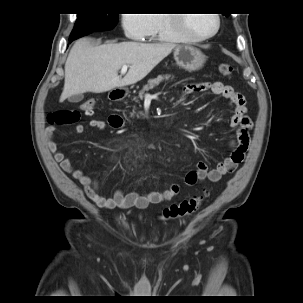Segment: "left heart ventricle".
I'll return each mask as SVG.
<instances>
[{
    "instance_id": "1",
    "label": "left heart ventricle",
    "mask_w": 303,
    "mask_h": 303,
    "mask_svg": "<svg viewBox=\"0 0 303 303\" xmlns=\"http://www.w3.org/2000/svg\"><path fill=\"white\" fill-rule=\"evenodd\" d=\"M215 27V19L211 14H188L187 28L196 35L207 34Z\"/></svg>"
}]
</instances>
